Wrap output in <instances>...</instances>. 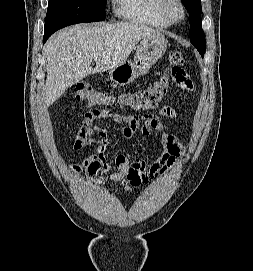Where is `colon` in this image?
Wrapping results in <instances>:
<instances>
[{
	"label": "colon",
	"mask_w": 253,
	"mask_h": 271,
	"mask_svg": "<svg viewBox=\"0 0 253 271\" xmlns=\"http://www.w3.org/2000/svg\"><path fill=\"white\" fill-rule=\"evenodd\" d=\"M168 62V75L155 81L142 91L112 96L93 90L89 84L80 83L76 86L75 99L96 108L97 110L94 112L100 114L107 113L105 107L115 103L140 112L155 109L166 96L170 80L174 81L183 90L191 89V82L183 72L185 65L183 55L179 51L173 50L169 54Z\"/></svg>",
	"instance_id": "1"
}]
</instances>
